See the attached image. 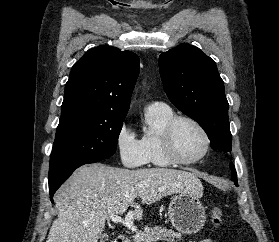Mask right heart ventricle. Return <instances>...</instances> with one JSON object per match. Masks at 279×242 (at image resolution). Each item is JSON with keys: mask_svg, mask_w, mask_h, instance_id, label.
Segmentation results:
<instances>
[{"mask_svg": "<svg viewBox=\"0 0 279 242\" xmlns=\"http://www.w3.org/2000/svg\"><path fill=\"white\" fill-rule=\"evenodd\" d=\"M174 116L173 110L166 105H151L145 115L148 130L140 142L146 155L147 163L156 167H169L173 163L163 150L161 135L166 123Z\"/></svg>", "mask_w": 279, "mask_h": 242, "instance_id": "right-heart-ventricle-1", "label": "right heart ventricle"}]
</instances>
